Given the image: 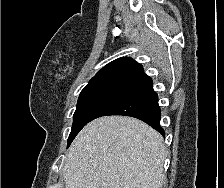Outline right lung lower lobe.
<instances>
[{
  "label": "right lung lower lobe",
  "instance_id": "obj_1",
  "mask_svg": "<svg viewBox=\"0 0 224 188\" xmlns=\"http://www.w3.org/2000/svg\"><path fill=\"white\" fill-rule=\"evenodd\" d=\"M107 115L138 118L164 135V130L160 127L158 96L153 90L152 79L144 73L111 97L94 113L90 121Z\"/></svg>",
  "mask_w": 224,
  "mask_h": 188
}]
</instances>
